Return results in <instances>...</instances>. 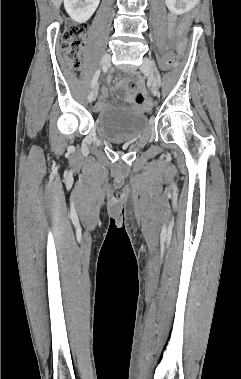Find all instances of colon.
<instances>
[{"instance_id":"1","label":"colon","mask_w":241,"mask_h":379,"mask_svg":"<svg viewBox=\"0 0 241 379\" xmlns=\"http://www.w3.org/2000/svg\"><path fill=\"white\" fill-rule=\"evenodd\" d=\"M198 14L197 8H190L189 13L182 14V22L174 23L172 32L169 33L168 42L171 43L169 51L166 47H161V53L156 56V62L161 65H170L171 68L177 67L175 57L172 56L175 52V47L180 41L185 38V33L182 30H191V25L195 24L196 15ZM88 27L83 23H71L64 30L61 35L62 54L67 66L77 68L80 64V56L84 50L85 37ZM142 105L144 109L152 108L151 98H142Z\"/></svg>"}]
</instances>
